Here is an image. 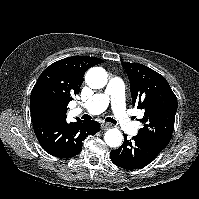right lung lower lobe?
<instances>
[{
  "mask_svg": "<svg viewBox=\"0 0 199 199\" xmlns=\"http://www.w3.org/2000/svg\"><path fill=\"white\" fill-rule=\"evenodd\" d=\"M32 122L42 148L59 158L78 155L82 150V141L100 130V124L93 120L67 123L66 120L42 118Z\"/></svg>",
  "mask_w": 199,
  "mask_h": 199,
  "instance_id": "1",
  "label": "right lung lower lobe"
}]
</instances>
